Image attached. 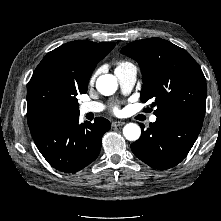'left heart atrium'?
<instances>
[{"label":"left heart atrium","instance_id":"39dd6f15","mask_svg":"<svg viewBox=\"0 0 221 221\" xmlns=\"http://www.w3.org/2000/svg\"><path fill=\"white\" fill-rule=\"evenodd\" d=\"M114 112H116V113L119 112L118 107H115V108H114Z\"/></svg>","mask_w":221,"mask_h":221}]
</instances>
